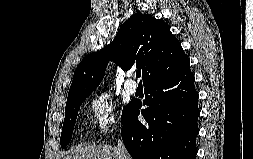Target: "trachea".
Wrapping results in <instances>:
<instances>
[{
  "mask_svg": "<svg viewBox=\"0 0 253 159\" xmlns=\"http://www.w3.org/2000/svg\"><path fill=\"white\" fill-rule=\"evenodd\" d=\"M136 77L137 78L141 77V71L140 70L136 71Z\"/></svg>",
  "mask_w": 253,
  "mask_h": 159,
  "instance_id": "obj_1",
  "label": "trachea"
}]
</instances>
